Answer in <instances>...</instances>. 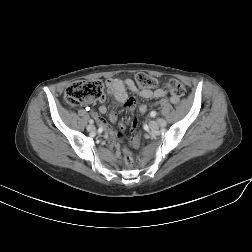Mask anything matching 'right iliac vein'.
I'll use <instances>...</instances> for the list:
<instances>
[{"instance_id":"obj_1","label":"right iliac vein","mask_w":252,"mask_h":252,"mask_svg":"<svg viewBox=\"0 0 252 252\" xmlns=\"http://www.w3.org/2000/svg\"><path fill=\"white\" fill-rule=\"evenodd\" d=\"M87 130L91 133H94L96 131V128L94 125L91 124L87 126Z\"/></svg>"}]
</instances>
